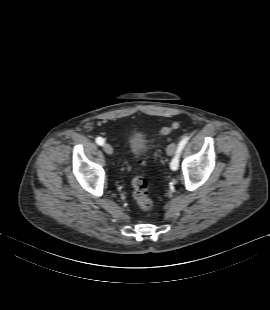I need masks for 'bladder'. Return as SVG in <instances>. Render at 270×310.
<instances>
[{
  "label": "bladder",
  "instance_id": "31cf9c89",
  "mask_svg": "<svg viewBox=\"0 0 270 310\" xmlns=\"http://www.w3.org/2000/svg\"><path fill=\"white\" fill-rule=\"evenodd\" d=\"M147 148V140L145 136L140 132H135L131 134L129 138V149L130 152L138 156L143 153Z\"/></svg>",
  "mask_w": 270,
  "mask_h": 310
}]
</instances>
